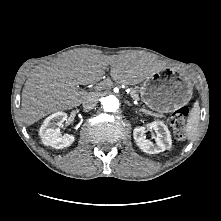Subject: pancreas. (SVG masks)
Here are the masks:
<instances>
[{
  "label": "pancreas",
  "instance_id": "obj_1",
  "mask_svg": "<svg viewBox=\"0 0 221 221\" xmlns=\"http://www.w3.org/2000/svg\"><path fill=\"white\" fill-rule=\"evenodd\" d=\"M131 96H132L133 99H136V100L139 99V95L137 94L136 90H132Z\"/></svg>",
  "mask_w": 221,
  "mask_h": 221
}]
</instances>
